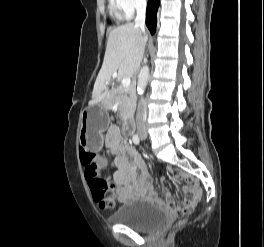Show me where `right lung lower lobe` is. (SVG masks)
<instances>
[{"mask_svg": "<svg viewBox=\"0 0 264 247\" xmlns=\"http://www.w3.org/2000/svg\"><path fill=\"white\" fill-rule=\"evenodd\" d=\"M158 6L159 0H148L146 11V25L150 30L151 34H154L156 30V15Z\"/></svg>", "mask_w": 264, "mask_h": 247, "instance_id": "obj_1", "label": "right lung lower lobe"}]
</instances>
